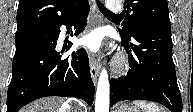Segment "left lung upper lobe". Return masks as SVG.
Instances as JSON below:
<instances>
[{
    "label": "left lung upper lobe",
    "mask_w": 193,
    "mask_h": 112,
    "mask_svg": "<svg viewBox=\"0 0 193 112\" xmlns=\"http://www.w3.org/2000/svg\"><path fill=\"white\" fill-rule=\"evenodd\" d=\"M123 14L119 32L128 39L141 29L170 24L167 0H124Z\"/></svg>",
    "instance_id": "obj_1"
}]
</instances>
